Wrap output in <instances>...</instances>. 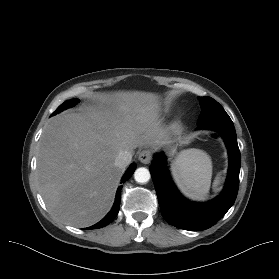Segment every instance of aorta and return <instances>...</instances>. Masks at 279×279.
<instances>
[{
  "label": "aorta",
  "mask_w": 279,
  "mask_h": 279,
  "mask_svg": "<svg viewBox=\"0 0 279 279\" xmlns=\"http://www.w3.org/2000/svg\"><path fill=\"white\" fill-rule=\"evenodd\" d=\"M150 172L145 167L137 168L134 173V179L138 183H146L150 180Z\"/></svg>",
  "instance_id": "aorta-1"
}]
</instances>
